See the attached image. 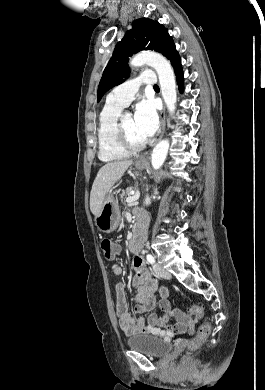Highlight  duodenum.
I'll use <instances>...</instances> for the list:
<instances>
[{
    "mask_svg": "<svg viewBox=\"0 0 265 390\" xmlns=\"http://www.w3.org/2000/svg\"><path fill=\"white\" fill-rule=\"evenodd\" d=\"M146 232V218L143 214L136 216L133 234L128 242V246L133 251H139L144 243Z\"/></svg>",
    "mask_w": 265,
    "mask_h": 390,
    "instance_id": "duodenum-1",
    "label": "duodenum"
}]
</instances>
